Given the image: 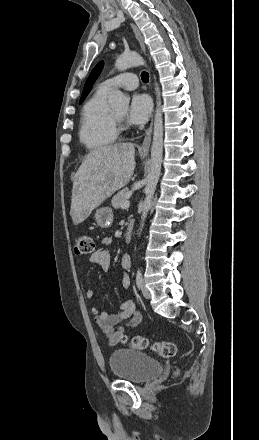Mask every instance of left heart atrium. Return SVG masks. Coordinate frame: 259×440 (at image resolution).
Masks as SVG:
<instances>
[{"label": "left heart atrium", "instance_id": "left-heart-atrium-1", "mask_svg": "<svg viewBox=\"0 0 259 440\" xmlns=\"http://www.w3.org/2000/svg\"><path fill=\"white\" fill-rule=\"evenodd\" d=\"M152 101L146 94H134L131 98L127 120L134 125L144 124L151 113Z\"/></svg>", "mask_w": 259, "mask_h": 440}]
</instances>
